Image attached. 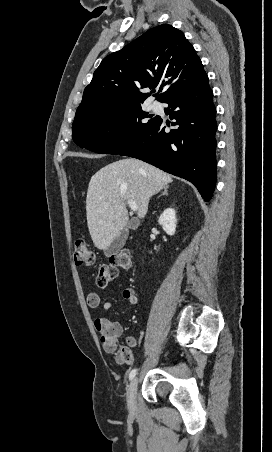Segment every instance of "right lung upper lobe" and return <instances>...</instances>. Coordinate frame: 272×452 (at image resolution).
Segmentation results:
<instances>
[{"mask_svg":"<svg viewBox=\"0 0 272 452\" xmlns=\"http://www.w3.org/2000/svg\"><path fill=\"white\" fill-rule=\"evenodd\" d=\"M206 76L184 34L171 25H159L102 60L84 90L75 118L140 105L150 93H141L139 88L153 89L160 83L163 93L157 100L165 102Z\"/></svg>","mask_w":272,"mask_h":452,"instance_id":"obj_1","label":"right lung upper lobe"}]
</instances>
